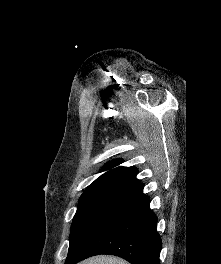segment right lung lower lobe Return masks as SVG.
Listing matches in <instances>:
<instances>
[{"label": "right lung lower lobe", "mask_w": 221, "mask_h": 264, "mask_svg": "<svg viewBox=\"0 0 221 264\" xmlns=\"http://www.w3.org/2000/svg\"><path fill=\"white\" fill-rule=\"evenodd\" d=\"M143 187L138 182L126 189L80 252L67 258L65 264L99 254L116 255L131 264H159L162 242L156 230L157 217Z\"/></svg>", "instance_id": "obj_1"}]
</instances>
